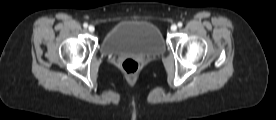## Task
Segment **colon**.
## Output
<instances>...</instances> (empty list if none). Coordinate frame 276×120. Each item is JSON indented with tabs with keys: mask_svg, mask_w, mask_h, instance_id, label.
<instances>
[{
	"mask_svg": "<svg viewBox=\"0 0 276 120\" xmlns=\"http://www.w3.org/2000/svg\"><path fill=\"white\" fill-rule=\"evenodd\" d=\"M121 68L128 78H134L139 71V63L134 58H126L122 62Z\"/></svg>",
	"mask_w": 276,
	"mask_h": 120,
	"instance_id": "colon-1",
	"label": "colon"
}]
</instances>
